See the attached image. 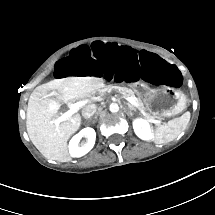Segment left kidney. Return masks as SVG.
<instances>
[{
	"label": "left kidney",
	"instance_id": "5707ae66",
	"mask_svg": "<svg viewBox=\"0 0 215 215\" xmlns=\"http://www.w3.org/2000/svg\"><path fill=\"white\" fill-rule=\"evenodd\" d=\"M133 129L135 134L141 138L142 140H152L153 139V132L151 129L150 123L143 118H136L133 120Z\"/></svg>",
	"mask_w": 215,
	"mask_h": 215
}]
</instances>
